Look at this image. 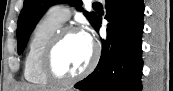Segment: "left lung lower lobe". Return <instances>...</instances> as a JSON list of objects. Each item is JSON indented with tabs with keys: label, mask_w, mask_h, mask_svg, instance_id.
Listing matches in <instances>:
<instances>
[{
	"label": "left lung lower lobe",
	"mask_w": 173,
	"mask_h": 91,
	"mask_svg": "<svg viewBox=\"0 0 173 91\" xmlns=\"http://www.w3.org/2000/svg\"><path fill=\"white\" fill-rule=\"evenodd\" d=\"M107 39L95 70L75 84L84 91H141L143 0H105ZM101 17L94 28L99 31Z\"/></svg>",
	"instance_id": "left-lung-lower-lobe-1"
}]
</instances>
